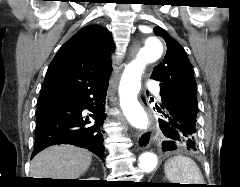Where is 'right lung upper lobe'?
Listing matches in <instances>:
<instances>
[{
	"instance_id": "obj_1",
	"label": "right lung upper lobe",
	"mask_w": 240,
	"mask_h": 187,
	"mask_svg": "<svg viewBox=\"0 0 240 187\" xmlns=\"http://www.w3.org/2000/svg\"><path fill=\"white\" fill-rule=\"evenodd\" d=\"M114 48L111 34L103 27L89 25L79 30L50 63L38 101L73 94L109 79Z\"/></svg>"
}]
</instances>
